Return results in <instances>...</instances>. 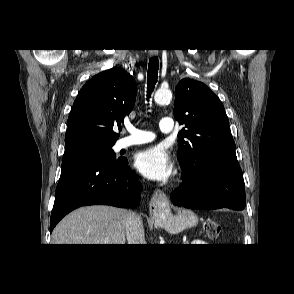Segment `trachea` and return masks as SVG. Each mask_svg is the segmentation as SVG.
Here are the masks:
<instances>
[{
	"label": "trachea",
	"mask_w": 294,
	"mask_h": 294,
	"mask_svg": "<svg viewBox=\"0 0 294 294\" xmlns=\"http://www.w3.org/2000/svg\"><path fill=\"white\" fill-rule=\"evenodd\" d=\"M158 69H159V61L157 57H152L149 59L148 64V94L147 97H150L151 92L153 91L155 84L158 79Z\"/></svg>",
	"instance_id": "trachea-1"
}]
</instances>
